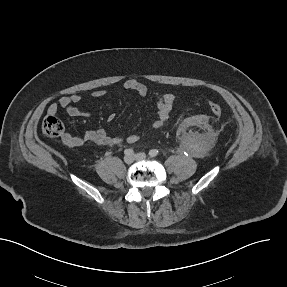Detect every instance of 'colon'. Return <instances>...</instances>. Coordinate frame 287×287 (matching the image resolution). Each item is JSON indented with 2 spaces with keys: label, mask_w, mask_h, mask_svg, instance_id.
<instances>
[{
  "label": "colon",
  "mask_w": 287,
  "mask_h": 287,
  "mask_svg": "<svg viewBox=\"0 0 287 287\" xmlns=\"http://www.w3.org/2000/svg\"><path fill=\"white\" fill-rule=\"evenodd\" d=\"M209 109L215 116H219L222 113V107L217 102H210ZM42 132L49 138L60 137L64 132L63 123L57 116L50 114L46 116L42 122Z\"/></svg>",
  "instance_id": "5ec220e1"
}]
</instances>
